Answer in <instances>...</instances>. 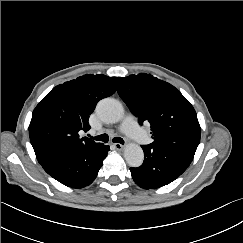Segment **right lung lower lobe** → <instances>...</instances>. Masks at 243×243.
I'll return each mask as SVG.
<instances>
[{"mask_svg":"<svg viewBox=\"0 0 243 243\" xmlns=\"http://www.w3.org/2000/svg\"><path fill=\"white\" fill-rule=\"evenodd\" d=\"M109 150V146L99 144L83 151L54 154L39 163L60 183L68 187L83 188L94 181Z\"/></svg>","mask_w":243,"mask_h":243,"instance_id":"right-lung-lower-lobe-1","label":"right lung lower lobe"}]
</instances>
